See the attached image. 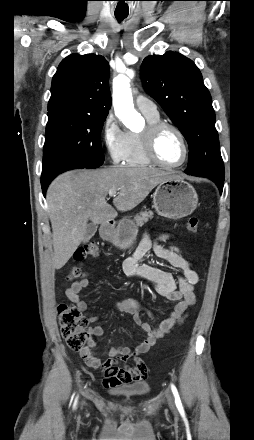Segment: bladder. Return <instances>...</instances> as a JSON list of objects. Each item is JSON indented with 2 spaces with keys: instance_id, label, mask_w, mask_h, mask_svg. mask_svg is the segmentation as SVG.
Instances as JSON below:
<instances>
[{
  "instance_id": "bladder-1",
  "label": "bladder",
  "mask_w": 254,
  "mask_h": 440,
  "mask_svg": "<svg viewBox=\"0 0 254 440\" xmlns=\"http://www.w3.org/2000/svg\"><path fill=\"white\" fill-rule=\"evenodd\" d=\"M150 391V386L146 382L136 383L115 391L116 394L124 397H143Z\"/></svg>"
}]
</instances>
